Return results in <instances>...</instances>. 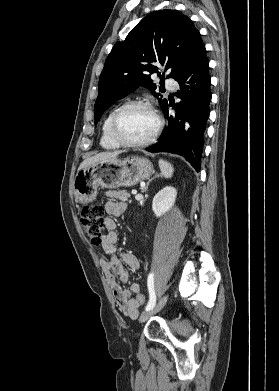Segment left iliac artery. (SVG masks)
<instances>
[{
    "label": "left iliac artery",
    "instance_id": "obj_1",
    "mask_svg": "<svg viewBox=\"0 0 279 391\" xmlns=\"http://www.w3.org/2000/svg\"><path fill=\"white\" fill-rule=\"evenodd\" d=\"M147 286H148V290H149V302L146 305V308H145L146 311L153 308L156 303V295H155V291H154V274L153 273H150L148 276Z\"/></svg>",
    "mask_w": 279,
    "mask_h": 391
}]
</instances>
